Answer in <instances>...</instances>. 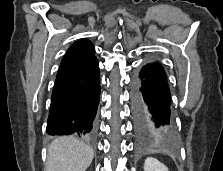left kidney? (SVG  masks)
Wrapping results in <instances>:
<instances>
[{"mask_svg": "<svg viewBox=\"0 0 223 171\" xmlns=\"http://www.w3.org/2000/svg\"><path fill=\"white\" fill-rule=\"evenodd\" d=\"M144 171H169L168 168L157 159L148 157L144 162Z\"/></svg>", "mask_w": 223, "mask_h": 171, "instance_id": "obj_1", "label": "left kidney"}]
</instances>
